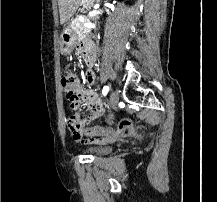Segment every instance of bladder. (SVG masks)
I'll return each instance as SVG.
<instances>
[{
    "label": "bladder",
    "instance_id": "bladder-1",
    "mask_svg": "<svg viewBox=\"0 0 217 202\" xmlns=\"http://www.w3.org/2000/svg\"><path fill=\"white\" fill-rule=\"evenodd\" d=\"M111 149L112 146L104 143H99L91 150V152L94 156H106L107 152Z\"/></svg>",
    "mask_w": 217,
    "mask_h": 202
}]
</instances>
